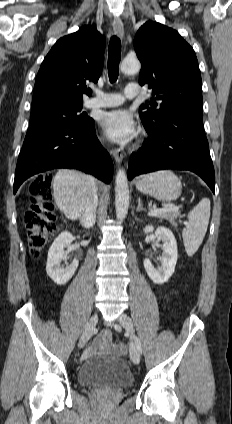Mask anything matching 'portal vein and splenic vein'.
<instances>
[{"label": "portal vein and splenic vein", "mask_w": 232, "mask_h": 424, "mask_svg": "<svg viewBox=\"0 0 232 424\" xmlns=\"http://www.w3.org/2000/svg\"><path fill=\"white\" fill-rule=\"evenodd\" d=\"M179 209H180L179 206L167 205V206L159 208V209L154 208V209L150 210L148 215L149 216H158V215L165 213V212H178Z\"/></svg>", "instance_id": "18ae733b"}]
</instances>
